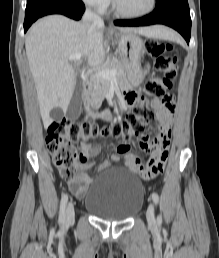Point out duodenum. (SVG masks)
<instances>
[{
  "mask_svg": "<svg viewBox=\"0 0 219 258\" xmlns=\"http://www.w3.org/2000/svg\"><path fill=\"white\" fill-rule=\"evenodd\" d=\"M90 94V85L86 84L83 89V97L86 100Z\"/></svg>",
  "mask_w": 219,
  "mask_h": 258,
  "instance_id": "obj_1",
  "label": "duodenum"
}]
</instances>
